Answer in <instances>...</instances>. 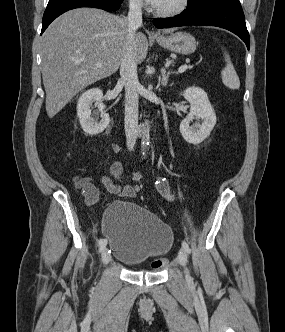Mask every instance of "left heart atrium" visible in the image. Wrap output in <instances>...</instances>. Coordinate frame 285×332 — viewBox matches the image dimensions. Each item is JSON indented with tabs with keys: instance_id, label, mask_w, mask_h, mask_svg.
Wrapping results in <instances>:
<instances>
[{
	"instance_id": "1",
	"label": "left heart atrium",
	"mask_w": 285,
	"mask_h": 332,
	"mask_svg": "<svg viewBox=\"0 0 285 332\" xmlns=\"http://www.w3.org/2000/svg\"><path fill=\"white\" fill-rule=\"evenodd\" d=\"M148 3H150L153 7L159 8L164 0H147Z\"/></svg>"
}]
</instances>
